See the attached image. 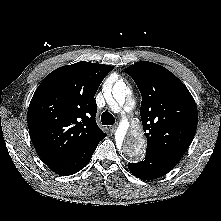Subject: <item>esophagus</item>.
<instances>
[{
	"mask_svg": "<svg viewBox=\"0 0 221 221\" xmlns=\"http://www.w3.org/2000/svg\"><path fill=\"white\" fill-rule=\"evenodd\" d=\"M116 128H117V126H116V125H113V126H110V127H109V130H110L111 132H114V131L116 130Z\"/></svg>",
	"mask_w": 221,
	"mask_h": 221,
	"instance_id": "34e87169",
	"label": "esophagus"
}]
</instances>
